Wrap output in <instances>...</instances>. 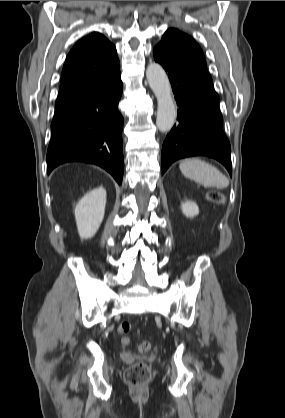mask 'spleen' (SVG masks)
<instances>
[{
  "label": "spleen",
  "mask_w": 285,
  "mask_h": 418,
  "mask_svg": "<svg viewBox=\"0 0 285 418\" xmlns=\"http://www.w3.org/2000/svg\"><path fill=\"white\" fill-rule=\"evenodd\" d=\"M179 167L185 177L205 187L224 189L229 185L227 177L216 167L198 158L185 159Z\"/></svg>",
  "instance_id": "spleen-1"
}]
</instances>
